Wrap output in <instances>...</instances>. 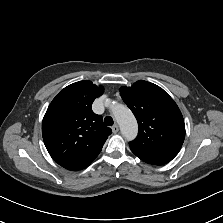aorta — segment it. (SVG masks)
I'll return each instance as SVG.
<instances>
[{
	"label": "aorta",
	"instance_id": "1",
	"mask_svg": "<svg viewBox=\"0 0 223 223\" xmlns=\"http://www.w3.org/2000/svg\"><path fill=\"white\" fill-rule=\"evenodd\" d=\"M111 112L121 127V134L127 140L131 141L138 134V124L131 110L123 104L115 103L111 107Z\"/></svg>",
	"mask_w": 223,
	"mask_h": 223
}]
</instances>
